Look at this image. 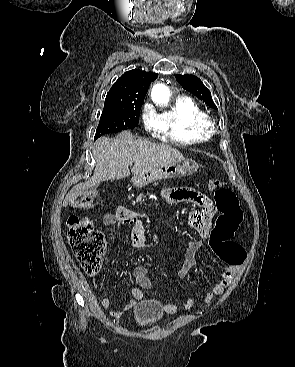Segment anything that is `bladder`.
<instances>
[{
	"label": "bladder",
	"instance_id": "obj_1",
	"mask_svg": "<svg viewBox=\"0 0 295 367\" xmlns=\"http://www.w3.org/2000/svg\"><path fill=\"white\" fill-rule=\"evenodd\" d=\"M164 313L160 301L145 300L135 308L134 321L138 328H147L159 322Z\"/></svg>",
	"mask_w": 295,
	"mask_h": 367
}]
</instances>
